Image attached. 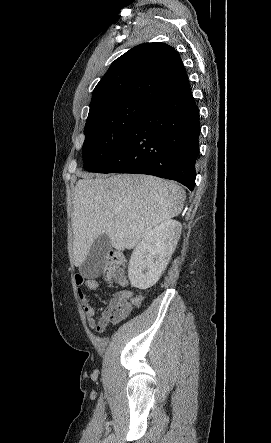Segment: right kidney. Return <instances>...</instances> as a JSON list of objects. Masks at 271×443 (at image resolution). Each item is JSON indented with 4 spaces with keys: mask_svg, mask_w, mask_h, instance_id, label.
<instances>
[{
    "mask_svg": "<svg viewBox=\"0 0 271 443\" xmlns=\"http://www.w3.org/2000/svg\"><path fill=\"white\" fill-rule=\"evenodd\" d=\"M182 225L176 220H164L150 229L135 249L128 265V277L133 287L147 289L158 281L177 245Z\"/></svg>",
    "mask_w": 271,
    "mask_h": 443,
    "instance_id": "ca27d5eb",
    "label": "right kidney"
}]
</instances>
